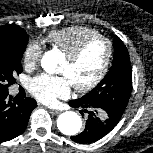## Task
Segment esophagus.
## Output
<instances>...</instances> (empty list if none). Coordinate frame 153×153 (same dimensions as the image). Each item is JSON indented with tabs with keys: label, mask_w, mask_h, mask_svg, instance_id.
Returning a JSON list of instances; mask_svg holds the SVG:
<instances>
[{
	"label": "esophagus",
	"mask_w": 153,
	"mask_h": 153,
	"mask_svg": "<svg viewBox=\"0 0 153 153\" xmlns=\"http://www.w3.org/2000/svg\"><path fill=\"white\" fill-rule=\"evenodd\" d=\"M50 113L53 114V115H58L61 113L60 110H55V109H50Z\"/></svg>",
	"instance_id": "1"
}]
</instances>
